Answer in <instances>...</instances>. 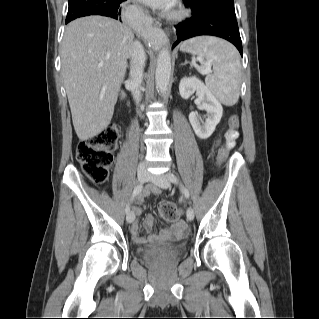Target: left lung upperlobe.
<instances>
[{"instance_id": "left-lung-upper-lobe-1", "label": "left lung upper lobe", "mask_w": 319, "mask_h": 319, "mask_svg": "<svg viewBox=\"0 0 319 319\" xmlns=\"http://www.w3.org/2000/svg\"><path fill=\"white\" fill-rule=\"evenodd\" d=\"M193 12H214L236 18L233 0H183Z\"/></svg>"}]
</instances>
